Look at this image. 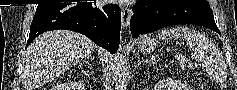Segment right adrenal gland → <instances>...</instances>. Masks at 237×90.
<instances>
[{
	"label": "right adrenal gland",
	"instance_id": "right-adrenal-gland-1",
	"mask_svg": "<svg viewBox=\"0 0 237 90\" xmlns=\"http://www.w3.org/2000/svg\"><path fill=\"white\" fill-rule=\"evenodd\" d=\"M89 60H93V58H91V56H87V58H85V64H89Z\"/></svg>",
	"mask_w": 237,
	"mask_h": 90
}]
</instances>
